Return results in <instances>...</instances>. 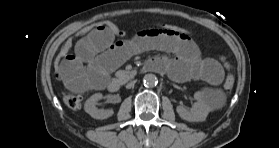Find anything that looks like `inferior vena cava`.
<instances>
[{
	"mask_svg": "<svg viewBox=\"0 0 279 148\" xmlns=\"http://www.w3.org/2000/svg\"><path fill=\"white\" fill-rule=\"evenodd\" d=\"M134 84H135V81H131V82H129V83L126 85V88H127V89H130V88H132V87L134 86Z\"/></svg>",
	"mask_w": 279,
	"mask_h": 148,
	"instance_id": "inferior-vena-cava-1",
	"label": "inferior vena cava"
}]
</instances>
